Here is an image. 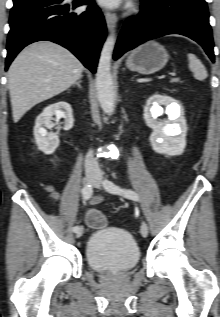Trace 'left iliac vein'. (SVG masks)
I'll return each mask as SVG.
<instances>
[{"instance_id":"left-iliac-vein-1","label":"left iliac vein","mask_w":220,"mask_h":317,"mask_svg":"<svg viewBox=\"0 0 220 317\" xmlns=\"http://www.w3.org/2000/svg\"><path fill=\"white\" fill-rule=\"evenodd\" d=\"M93 186L95 188H98V189H102L103 188V183H102L100 174L97 175V179L93 183ZM140 233H141V235L143 237H147L148 236V225H147L146 222H142V224L140 226Z\"/></svg>"}]
</instances>
